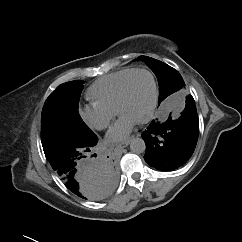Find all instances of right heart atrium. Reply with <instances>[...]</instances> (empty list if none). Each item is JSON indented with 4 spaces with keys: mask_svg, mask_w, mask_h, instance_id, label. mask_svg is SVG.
Masks as SVG:
<instances>
[{
    "mask_svg": "<svg viewBox=\"0 0 242 242\" xmlns=\"http://www.w3.org/2000/svg\"><path fill=\"white\" fill-rule=\"evenodd\" d=\"M81 120L95 130L106 129L115 117V110L89 103L81 106L78 110Z\"/></svg>",
    "mask_w": 242,
    "mask_h": 242,
    "instance_id": "obj_1",
    "label": "right heart atrium"
}]
</instances>
